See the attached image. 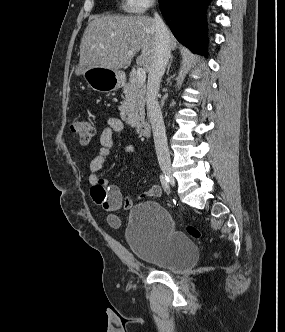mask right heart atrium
I'll use <instances>...</instances> for the list:
<instances>
[{"label": "right heart atrium", "mask_w": 285, "mask_h": 332, "mask_svg": "<svg viewBox=\"0 0 285 332\" xmlns=\"http://www.w3.org/2000/svg\"><path fill=\"white\" fill-rule=\"evenodd\" d=\"M155 3V0H123L124 7L132 13L140 14L145 12Z\"/></svg>", "instance_id": "right-heart-atrium-1"}]
</instances>
